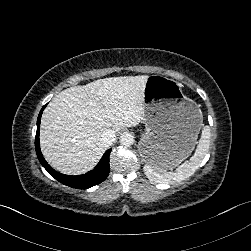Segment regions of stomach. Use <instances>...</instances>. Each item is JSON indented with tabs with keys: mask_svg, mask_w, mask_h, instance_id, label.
<instances>
[{
	"mask_svg": "<svg viewBox=\"0 0 251 251\" xmlns=\"http://www.w3.org/2000/svg\"><path fill=\"white\" fill-rule=\"evenodd\" d=\"M142 156L158 170L173 168L192 150L203 124L199 106L182 84L159 74L148 76L143 90Z\"/></svg>",
	"mask_w": 251,
	"mask_h": 251,
	"instance_id": "0dacf381",
	"label": "stomach"
}]
</instances>
